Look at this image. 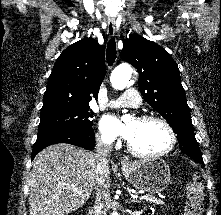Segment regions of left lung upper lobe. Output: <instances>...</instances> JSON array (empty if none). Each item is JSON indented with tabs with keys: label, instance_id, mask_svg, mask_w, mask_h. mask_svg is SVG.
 <instances>
[{
	"label": "left lung upper lobe",
	"instance_id": "obj_1",
	"mask_svg": "<svg viewBox=\"0 0 221 215\" xmlns=\"http://www.w3.org/2000/svg\"><path fill=\"white\" fill-rule=\"evenodd\" d=\"M123 45L121 58L137 69L145 101L173 128L184 154L202 156L176 62L161 46L139 35H130Z\"/></svg>",
	"mask_w": 221,
	"mask_h": 215
}]
</instances>
